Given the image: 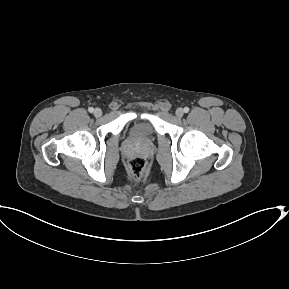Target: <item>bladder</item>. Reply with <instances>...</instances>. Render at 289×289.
<instances>
[{
	"instance_id": "bladder-1",
	"label": "bladder",
	"mask_w": 289,
	"mask_h": 289,
	"mask_svg": "<svg viewBox=\"0 0 289 289\" xmlns=\"http://www.w3.org/2000/svg\"><path fill=\"white\" fill-rule=\"evenodd\" d=\"M153 125L149 120L138 121L131 127V133L135 137H148L153 134Z\"/></svg>"
}]
</instances>
